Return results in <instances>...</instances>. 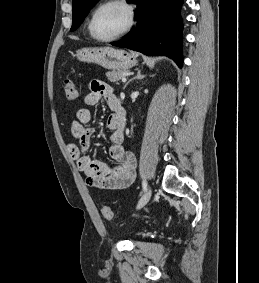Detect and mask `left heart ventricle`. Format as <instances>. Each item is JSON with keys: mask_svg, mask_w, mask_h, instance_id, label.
Here are the masks:
<instances>
[{"mask_svg": "<svg viewBox=\"0 0 259 283\" xmlns=\"http://www.w3.org/2000/svg\"><path fill=\"white\" fill-rule=\"evenodd\" d=\"M127 12L118 4L102 8L93 23L94 34L100 38H109L119 33L127 24Z\"/></svg>", "mask_w": 259, "mask_h": 283, "instance_id": "b2bd125f", "label": "left heart ventricle"}]
</instances>
